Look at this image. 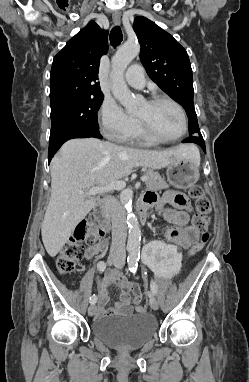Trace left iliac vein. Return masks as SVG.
<instances>
[{"label": "left iliac vein", "mask_w": 249, "mask_h": 382, "mask_svg": "<svg viewBox=\"0 0 249 382\" xmlns=\"http://www.w3.org/2000/svg\"><path fill=\"white\" fill-rule=\"evenodd\" d=\"M124 262H125V258L121 257L120 261L115 264V267L118 268V269H121L123 267V265H124ZM150 307L153 310H157L159 308V303H158L157 299L154 296L150 297Z\"/></svg>", "instance_id": "left-iliac-vein-1"}]
</instances>
